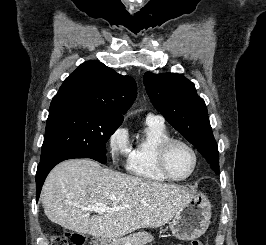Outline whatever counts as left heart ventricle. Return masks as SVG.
Returning a JSON list of instances; mask_svg holds the SVG:
<instances>
[{"label":"left heart ventricle","instance_id":"1","mask_svg":"<svg viewBox=\"0 0 266 245\" xmlns=\"http://www.w3.org/2000/svg\"><path fill=\"white\" fill-rule=\"evenodd\" d=\"M167 165L176 178H183L193 169L194 156L186 146L177 143L168 152Z\"/></svg>","mask_w":266,"mask_h":245}]
</instances>
